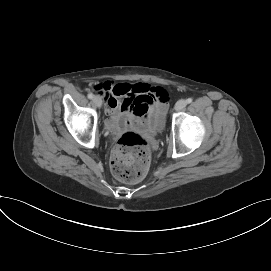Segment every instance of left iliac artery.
I'll return each instance as SVG.
<instances>
[{
  "label": "left iliac artery",
  "instance_id": "left-iliac-artery-1",
  "mask_svg": "<svg viewBox=\"0 0 271 271\" xmlns=\"http://www.w3.org/2000/svg\"><path fill=\"white\" fill-rule=\"evenodd\" d=\"M192 101H193L192 98H188V99H187V103H191Z\"/></svg>",
  "mask_w": 271,
  "mask_h": 271
}]
</instances>
